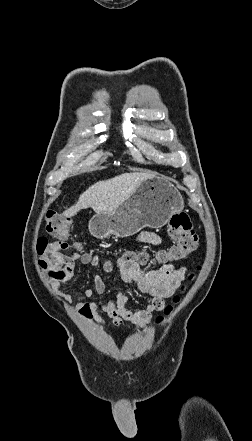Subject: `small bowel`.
I'll use <instances>...</instances> for the list:
<instances>
[{"instance_id": "c3829d8e", "label": "small bowel", "mask_w": 252, "mask_h": 441, "mask_svg": "<svg viewBox=\"0 0 252 441\" xmlns=\"http://www.w3.org/2000/svg\"><path fill=\"white\" fill-rule=\"evenodd\" d=\"M138 240L151 245H160L162 238L154 232L143 231L138 235ZM69 244L63 242V249L69 248ZM99 256L90 253H74L65 257L66 276L62 281L56 282L60 290L73 276L74 262L79 261L84 265L96 266L99 264ZM105 273H111L114 269L113 261L107 259L102 264ZM185 266L176 268L172 264H164L158 269L143 271L136 261H127L119 258L117 261L118 277L124 282L135 285L149 299L142 310L132 311L127 308L128 296L117 290L112 297L101 306V309L111 318L114 326H121L124 321H129L137 327L149 324L153 314L162 311L165 300L171 297L181 281L185 277ZM105 292V284L99 275L94 277V289L86 288L78 297L77 310L81 317L92 319L97 316L99 306L93 301H87L94 293L102 295ZM71 301V296L64 295Z\"/></svg>"}]
</instances>
